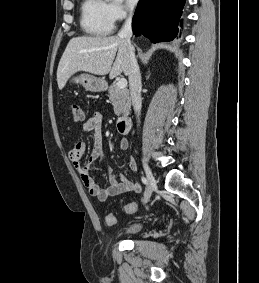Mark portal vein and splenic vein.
Returning a JSON list of instances; mask_svg holds the SVG:
<instances>
[{
	"instance_id": "obj_1",
	"label": "portal vein and splenic vein",
	"mask_w": 259,
	"mask_h": 283,
	"mask_svg": "<svg viewBox=\"0 0 259 283\" xmlns=\"http://www.w3.org/2000/svg\"><path fill=\"white\" fill-rule=\"evenodd\" d=\"M117 86H118V88H120V89L126 88V86H127V80L124 79V78L119 79L118 82H117Z\"/></svg>"
}]
</instances>
